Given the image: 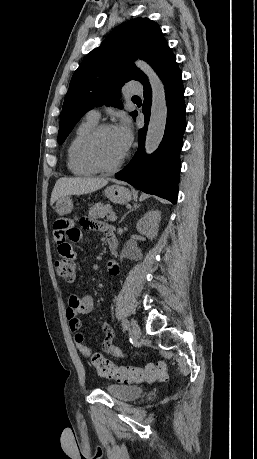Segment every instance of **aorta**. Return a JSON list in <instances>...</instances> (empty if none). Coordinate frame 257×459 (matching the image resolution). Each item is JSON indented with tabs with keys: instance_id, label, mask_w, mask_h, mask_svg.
I'll use <instances>...</instances> for the list:
<instances>
[{
	"instance_id": "aorta-1",
	"label": "aorta",
	"mask_w": 257,
	"mask_h": 459,
	"mask_svg": "<svg viewBox=\"0 0 257 459\" xmlns=\"http://www.w3.org/2000/svg\"><path fill=\"white\" fill-rule=\"evenodd\" d=\"M136 65L147 75L152 89L151 115L145 139L146 153L151 154L160 145L165 132L167 121L165 89L160 78L146 62L137 61Z\"/></svg>"
}]
</instances>
